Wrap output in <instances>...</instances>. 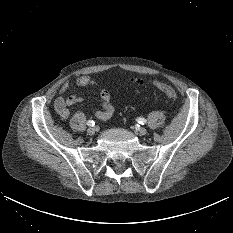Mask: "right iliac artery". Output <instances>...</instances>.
<instances>
[{"instance_id":"82829eb1","label":"right iliac artery","mask_w":233,"mask_h":233,"mask_svg":"<svg viewBox=\"0 0 233 233\" xmlns=\"http://www.w3.org/2000/svg\"><path fill=\"white\" fill-rule=\"evenodd\" d=\"M87 125L88 126H94L95 122L93 120H89V121H87Z\"/></svg>"}]
</instances>
